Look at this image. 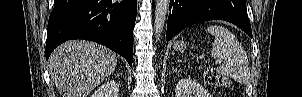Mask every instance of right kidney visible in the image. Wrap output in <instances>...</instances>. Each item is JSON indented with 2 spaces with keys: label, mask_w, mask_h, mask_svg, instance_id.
<instances>
[{
  "label": "right kidney",
  "mask_w": 302,
  "mask_h": 97,
  "mask_svg": "<svg viewBox=\"0 0 302 97\" xmlns=\"http://www.w3.org/2000/svg\"><path fill=\"white\" fill-rule=\"evenodd\" d=\"M119 84L116 81H107L97 91H95L92 97H118Z\"/></svg>",
  "instance_id": "right-kidney-1"
}]
</instances>
